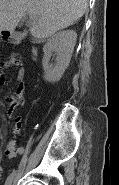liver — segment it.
I'll use <instances>...</instances> for the list:
<instances>
[{
  "mask_svg": "<svg viewBox=\"0 0 119 185\" xmlns=\"http://www.w3.org/2000/svg\"><path fill=\"white\" fill-rule=\"evenodd\" d=\"M87 0H0V32H14L26 13L35 17L33 37L45 39L78 21Z\"/></svg>",
  "mask_w": 119,
  "mask_h": 185,
  "instance_id": "obj_1",
  "label": "liver"
}]
</instances>
